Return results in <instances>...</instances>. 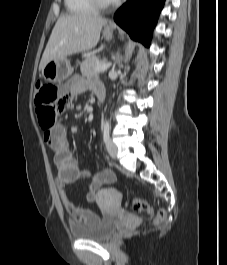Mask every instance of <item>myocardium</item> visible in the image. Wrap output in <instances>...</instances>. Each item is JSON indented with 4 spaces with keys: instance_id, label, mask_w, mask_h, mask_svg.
Returning <instances> with one entry per match:
<instances>
[{
    "instance_id": "1",
    "label": "myocardium",
    "mask_w": 227,
    "mask_h": 265,
    "mask_svg": "<svg viewBox=\"0 0 227 265\" xmlns=\"http://www.w3.org/2000/svg\"><path fill=\"white\" fill-rule=\"evenodd\" d=\"M95 9L105 10L111 8L116 2H105L103 0H90Z\"/></svg>"
}]
</instances>
